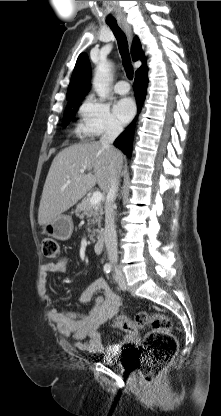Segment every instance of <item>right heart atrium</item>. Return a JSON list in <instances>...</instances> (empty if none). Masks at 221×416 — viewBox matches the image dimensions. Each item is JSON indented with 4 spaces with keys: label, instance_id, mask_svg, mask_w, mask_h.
<instances>
[{
    "label": "right heart atrium",
    "instance_id": "obj_1",
    "mask_svg": "<svg viewBox=\"0 0 221 416\" xmlns=\"http://www.w3.org/2000/svg\"><path fill=\"white\" fill-rule=\"evenodd\" d=\"M80 123L78 132L89 138L103 134L118 135L122 126L111 112L108 104L97 99L94 95H88L79 107Z\"/></svg>",
    "mask_w": 221,
    "mask_h": 416
}]
</instances>
